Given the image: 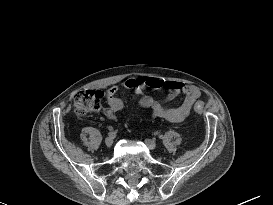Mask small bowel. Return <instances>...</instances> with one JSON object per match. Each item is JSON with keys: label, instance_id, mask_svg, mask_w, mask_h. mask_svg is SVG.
Segmentation results:
<instances>
[{"label": "small bowel", "instance_id": "c3829d8e", "mask_svg": "<svg viewBox=\"0 0 273 205\" xmlns=\"http://www.w3.org/2000/svg\"><path fill=\"white\" fill-rule=\"evenodd\" d=\"M123 88L134 91L138 95V103L144 109L151 111L153 118H164L172 122H181L191 112L194 103L201 97L199 88L179 81H161L157 78H148L144 83L137 79L129 78L123 83ZM165 87L168 95L164 101L154 99L144 92L145 88L157 89ZM119 87H113L106 93L109 107L102 110L103 115L112 121L117 120L123 110V102L117 96ZM178 96L184 99L178 106H171L169 103Z\"/></svg>", "mask_w": 273, "mask_h": 205}]
</instances>
